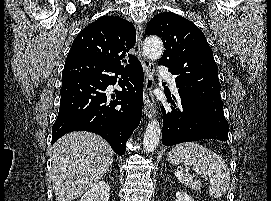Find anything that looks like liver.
<instances>
[{
    "mask_svg": "<svg viewBox=\"0 0 271 201\" xmlns=\"http://www.w3.org/2000/svg\"><path fill=\"white\" fill-rule=\"evenodd\" d=\"M113 150L99 135L71 132L53 146L49 178L57 201H72L92 188L113 163Z\"/></svg>",
    "mask_w": 271,
    "mask_h": 201,
    "instance_id": "liver-1",
    "label": "liver"
}]
</instances>
